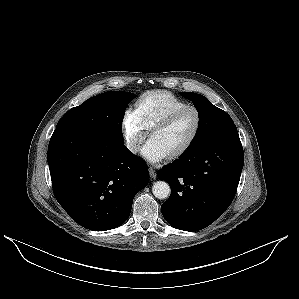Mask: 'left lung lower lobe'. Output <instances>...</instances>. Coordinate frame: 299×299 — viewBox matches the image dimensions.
Segmentation results:
<instances>
[{
    "mask_svg": "<svg viewBox=\"0 0 299 299\" xmlns=\"http://www.w3.org/2000/svg\"><path fill=\"white\" fill-rule=\"evenodd\" d=\"M243 164V148L232 125L159 170L158 177L171 187L161 206L166 221L184 231L212 224L231 204Z\"/></svg>",
    "mask_w": 299,
    "mask_h": 299,
    "instance_id": "left-lung-lower-lobe-1",
    "label": "left lung lower lobe"
}]
</instances>
